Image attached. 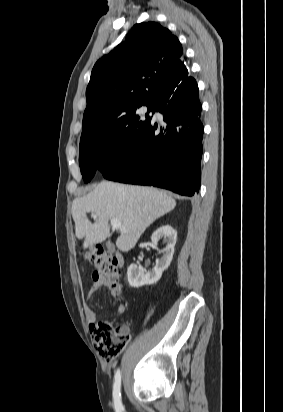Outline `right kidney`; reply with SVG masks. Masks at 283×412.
Segmentation results:
<instances>
[{"instance_id":"right-kidney-1","label":"right kidney","mask_w":283,"mask_h":412,"mask_svg":"<svg viewBox=\"0 0 283 412\" xmlns=\"http://www.w3.org/2000/svg\"><path fill=\"white\" fill-rule=\"evenodd\" d=\"M162 238L167 245L162 251L163 256L156 259V265L151 271L144 274L137 264H131L129 266L127 270V279L131 287L138 288L143 285L157 283L161 278L163 271L169 267L173 259L177 232L170 225H164L152 234L151 242L154 246H157L158 241Z\"/></svg>"}]
</instances>
